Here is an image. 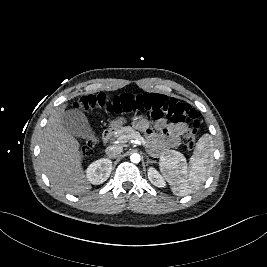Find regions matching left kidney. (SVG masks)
<instances>
[{
    "label": "left kidney",
    "instance_id": "1",
    "mask_svg": "<svg viewBox=\"0 0 267 267\" xmlns=\"http://www.w3.org/2000/svg\"><path fill=\"white\" fill-rule=\"evenodd\" d=\"M148 178L150 182L156 187L162 188V187H165L166 185L163 177L159 174V172L154 167H150L148 169Z\"/></svg>",
    "mask_w": 267,
    "mask_h": 267
}]
</instances>
